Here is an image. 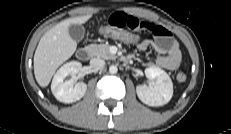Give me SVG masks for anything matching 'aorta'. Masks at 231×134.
<instances>
[{
    "mask_svg": "<svg viewBox=\"0 0 231 134\" xmlns=\"http://www.w3.org/2000/svg\"><path fill=\"white\" fill-rule=\"evenodd\" d=\"M117 71H118L117 66L111 65V66L109 67V72H110L111 74H116Z\"/></svg>",
    "mask_w": 231,
    "mask_h": 134,
    "instance_id": "762f6f07",
    "label": "aorta"
}]
</instances>
